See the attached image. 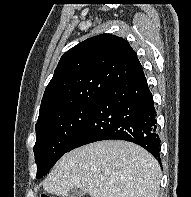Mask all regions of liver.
I'll return each instance as SVG.
<instances>
[{
	"mask_svg": "<svg viewBox=\"0 0 191 197\" xmlns=\"http://www.w3.org/2000/svg\"><path fill=\"white\" fill-rule=\"evenodd\" d=\"M161 175L158 161L141 146L105 140L66 153L43 188L63 197L73 188L91 197H158Z\"/></svg>",
	"mask_w": 191,
	"mask_h": 197,
	"instance_id": "obj_1",
	"label": "liver"
}]
</instances>
